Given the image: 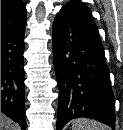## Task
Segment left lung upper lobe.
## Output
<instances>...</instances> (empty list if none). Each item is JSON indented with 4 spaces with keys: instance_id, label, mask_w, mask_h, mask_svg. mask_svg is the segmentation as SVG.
Here are the masks:
<instances>
[{
    "instance_id": "left-lung-upper-lobe-1",
    "label": "left lung upper lobe",
    "mask_w": 123,
    "mask_h": 130,
    "mask_svg": "<svg viewBox=\"0 0 123 130\" xmlns=\"http://www.w3.org/2000/svg\"><path fill=\"white\" fill-rule=\"evenodd\" d=\"M64 8L71 12L73 17L82 25L97 31L91 11L84 3L80 1H70L64 6Z\"/></svg>"
}]
</instances>
